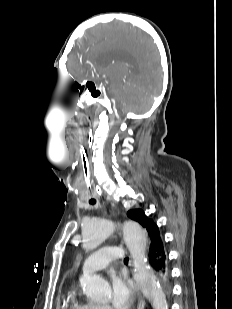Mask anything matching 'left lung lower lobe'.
<instances>
[{"instance_id":"obj_1","label":"left lung lower lobe","mask_w":232,"mask_h":309,"mask_svg":"<svg viewBox=\"0 0 232 309\" xmlns=\"http://www.w3.org/2000/svg\"><path fill=\"white\" fill-rule=\"evenodd\" d=\"M148 261L151 267L157 273L163 284H168L170 269L168 265V252L165 248L163 237L159 232V228L154 224L151 231L148 232Z\"/></svg>"}]
</instances>
